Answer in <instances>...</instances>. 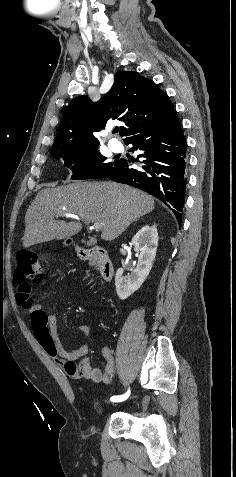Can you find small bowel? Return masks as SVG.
<instances>
[{
  "instance_id": "1",
  "label": "small bowel",
  "mask_w": 236,
  "mask_h": 477,
  "mask_svg": "<svg viewBox=\"0 0 236 477\" xmlns=\"http://www.w3.org/2000/svg\"><path fill=\"white\" fill-rule=\"evenodd\" d=\"M24 308L29 312L31 328L38 343L62 371L74 379H90L105 384L111 382L115 366L109 347H105L102 351L106 366L105 370L101 371L91 366L87 358L89 352L87 345L69 349L61 343L57 333L56 316L53 313L45 311L41 304L32 300ZM77 330L85 337L91 334L88 325H79ZM76 360H79V363H75Z\"/></svg>"
}]
</instances>
